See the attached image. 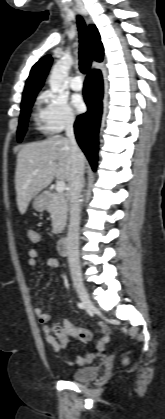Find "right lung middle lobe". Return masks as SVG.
<instances>
[{
    "label": "right lung middle lobe",
    "instance_id": "dd1d6c3e",
    "mask_svg": "<svg viewBox=\"0 0 165 419\" xmlns=\"http://www.w3.org/2000/svg\"><path fill=\"white\" fill-rule=\"evenodd\" d=\"M35 97L36 95H33L30 98L22 101L21 103V114L17 131L18 142H21L27 130V122L30 115L31 107L35 101Z\"/></svg>",
    "mask_w": 165,
    "mask_h": 419
}]
</instances>
